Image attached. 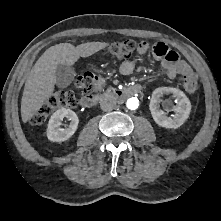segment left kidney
<instances>
[{"label": "left kidney", "instance_id": "left-kidney-1", "mask_svg": "<svg viewBox=\"0 0 221 221\" xmlns=\"http://www.w3.org/2000/svg\"><path fill=\"white\" fill-rule=\"evenodd\" d=\"M164 94H172L177 101V105L172 107V110L175 111V115L172 118L167 117L164 111L159 110L158 103ZM149 108L156 124L164 128L175 129L184 124L188 119L191 112V103L181 90L171 87H161L154 90Z\"/></svg>", "mask_w": 221, "mask_h": 221}]
</instances>
